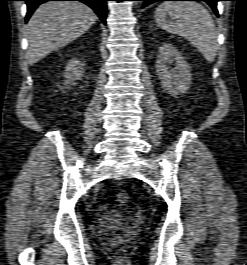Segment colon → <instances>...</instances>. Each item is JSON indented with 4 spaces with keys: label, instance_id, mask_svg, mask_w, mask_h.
I'll return each mask as SVG.
<instances>
[{
    "label": "colon",
    "instance_id": "5ec220e1",
    "mask_svg": "<svg viewBox=\"0 0 247 265\" xmlns=\"http://www.w3.org/2000/svg\"><path fill=\"white\" fill-rule=\"evenodd\" d=\"M117 201L121 206H126L130 202V195L126 190H120L117 194Z\"/></svg>",
    "mask_w": 247,
    "mask_h": 265
}]
</instances>
